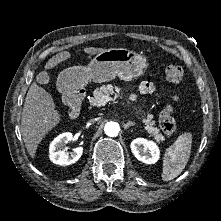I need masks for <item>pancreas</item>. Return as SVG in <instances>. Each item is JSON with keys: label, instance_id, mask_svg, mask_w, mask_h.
I'll return each instance as SVG.
<instances>
[{"label": "pancreas", "instance_id": "1", "mask_svg": "<svg viewBox=\"0 0 221 221\" xmlns=\"http://www.w3.org/2000/svg\"><path fill=\"white\" fill-rule=\"evenodd\" d=\"M121 92L122 88L118 86H113L111 84L103 85L93 92V97L90 100L91 104L94 106H99L98 101L102 96H118ZM153 117L154 116L152 114H148L146 118L142 119V122L145 124V130L150 134V136L154 137L157 142L163 141L165 137L159 132V129L155 127V122L152 120Z\"/></svg>", "mask_w": 221, "mask_h": 221}]
</instances>
